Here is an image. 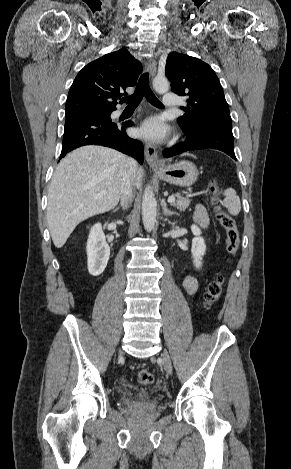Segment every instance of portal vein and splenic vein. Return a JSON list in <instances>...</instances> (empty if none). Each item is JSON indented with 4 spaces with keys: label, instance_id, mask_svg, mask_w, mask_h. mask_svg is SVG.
Instances as JSON below:
<instances>
[{
    "label": "portal vein and splenic vein",
    "instance_id": "18ae733b",
    "mask_svg": "<svg viewBox=\"0 0 291 469\" xmlns=\"http://www.w3.org/2000/svg\"><path fill=\"white\" fill-rule=\"evenodd\" d=\"M101 194H105V192H102ZM167 201H168V203H173V202H175V197L174 196H169Z\"/></svg>",
    "mask_w": 291,
    "mask_h": 469
}]
</instances>
